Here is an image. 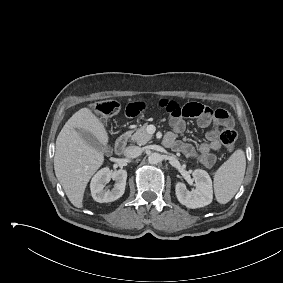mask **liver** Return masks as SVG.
Instances as JSON below:
<instances>
[{
    "mask_svg": "<svg viewBox=\"0 0 283 283\" xmlns=\"http://www.w3.org/2000/svg\"><path fill=\"white\" fill-rule=\"evenodd\" d=\"M78 130L93 134L103 145L108 143V133L89 108H81L68 119L56 139V177L70 202L82 208L86 186L102 166L104 155L89 145Z\"/></svg>",
    "mask_w": 283,
    "mask_h": 283,
    "instance_id": "1",
    "label": "liver"
}]
</instances>
